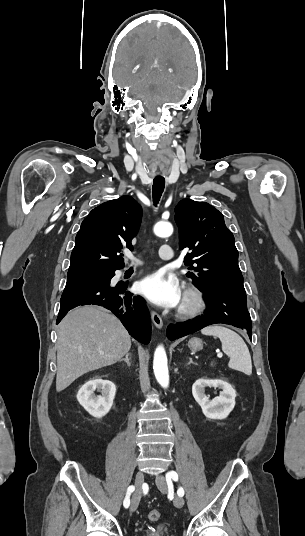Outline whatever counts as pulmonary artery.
<instances>
[{
  "label": "pulmonary artery",
  "mask_w": 305,
  "mask_h": 536,
  "mask_svg": "<svg viewBox=\"0 0 305 536\" xmlns=\"http://www.w3.org/2000/svg\"><path fill=\"white\" fill-rule=\"evenodd\" d=\"M171 251H172V248H171L170 245H168V244L162 245L161 248H160V253H161L162 259H164L166 261L173 260V254H172ZM133 260H136V257H133ZM137 260H140V257H137ZM139 266L140 265L128 266V267H125L123 271L128 270L130 267L137 268Z\"/></svg>",
  "instance_id": "1"
}]
</instances>
